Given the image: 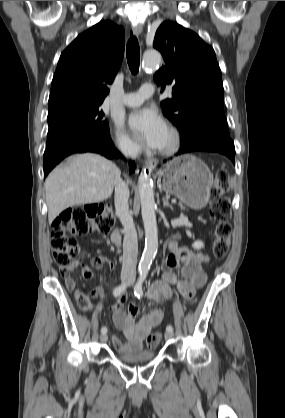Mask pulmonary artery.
Instances as JSON below:
<instances>
[{
	"label": "pulmonary artery",
	"mask_w": 285,
	"mask_h": 418,
	"mask_svg": "<svg viewBox=\"0 0 285 418\" xmlns=\"http://www.w3.org/2000/svg\"><path fill=\"white\" fill-rule=\"evenodd\" d=\"M154 94V87L151 84H143L139 92L129 93L122 97L121 104L125 106H138L145 99L152 97Z\"/></svg>",
	"instance_id": "e3ab8cb5"
}]
</instances>
